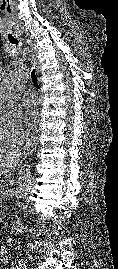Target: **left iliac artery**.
<instances>
[{
	"mask_svg": "<svg viewBox=\"0 0 118 269\" xmlns=\"http://www.w3.org/2000/svg\"><path fill=\"white\" fill-rule=\"evenodd\" d=\"M15 265L17 269H27L25 263L20 259L16 260Z\"/></svg>",
	"mask_w": 118,
	"mask_h": 269,
	"instance_id": "obj_1",
	"label": "left iliac artery"
}]
</instances>
